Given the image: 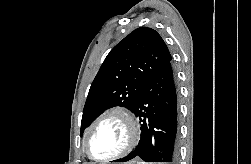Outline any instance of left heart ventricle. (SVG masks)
<instances>
[{
    "label": "left heart ventricle",
    "mask_w": 251,
    "mask_h": 164,
    "mask_svg": "<svg viewBox=\"0 0 251 164\" xmlns=\"http://www.w3.org/2000/svg\"><path fill=\"white\" fill-rule=\"evenodd\" d=\"M128 140L126 124L118 117L104 119L93 131L89 147L95 158H107L120 152Z\"/></svg>",
    "instance_id": "b2bd125f"
}]
</instances>
